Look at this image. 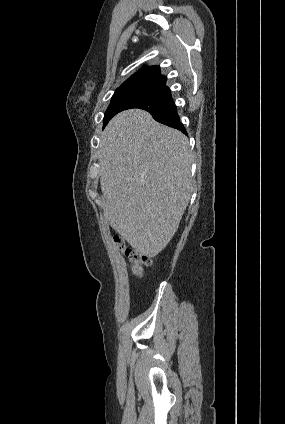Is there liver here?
<instances>
[{
	"instance_id": "obj_1",
	"label": "liver",
	"mask_w": 285,
	"mask_h": 424,
	"mask_svg": "<svg viewBox=\"0 0 285 424\" xmlns=\"http://www.w3.org/2000/svg\"><path fill=\"white\" fill-rule=\"evenodd\" d=\"M98 155L104 216L140 255L155 257L176 233L192 194L187 137L130 109L101 133Z\"/></svg>"
}]
</instances>
